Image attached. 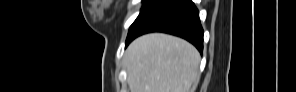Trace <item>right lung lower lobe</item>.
Masks as SVG:
<instances>
[{"label": "right lung lower lobe", "instance_id": "1", "mask_svg": "<svg viewBox=\"0 0 296 92\" xmlns=\"http://www.w3.org/2000/svg\"><path fill=\"white\" fill-rule=\"evenodd\" d=\"M148 32H165L186 39L202 52L203 29L192 0H156L131 26L126 46Z\"/></svg>", "mask_w": 296, "mask_h": 92}]
</instances>
